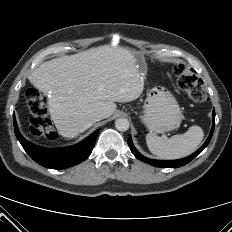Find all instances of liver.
I'll return each instance as SVG.
<instances>
[{
	"label": "liver",
	"instance_id": "obj_1",
	"mask_svg": "<svg viewBox=\"0 0 232 232\" xmlns=\"http://www.w3.org/2000/svg\"><path fill=\"white\" fill-rule=\"evenodd\" d=\"M145 74L146 66L134 52L101 46L46 61L29 80L50 95L51 119L63 137L72 138L90 127V115L108 118L117 108L115 102L137 99Z\"/></svg>",
	"mask_w": 232,
	"mask_h": 232
}]
</instances>
